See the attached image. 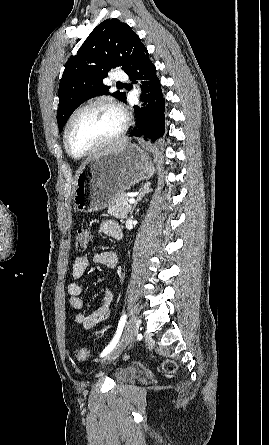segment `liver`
I'll use <instances>...</instances> for the list:
<instances>
[{
  "label": "liver",
  "instance_id": "obj_1",
  "mask_svg": "<svg viewBox=\"0 0 269 445\" xmlns=\"http://www.w3.org/2000/svg\"><path fill=\"white\" fill-rule=\"evenodd\" d=\"M129 142V138H122L115 142V144L109 146L106 150H104L102 153L106 152H114L116 150H119L120 148H123L125 145H127Z\"/></svg>",
  "mask_w": 269,
  "mask_h": 445
}]
</instances>
